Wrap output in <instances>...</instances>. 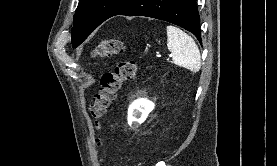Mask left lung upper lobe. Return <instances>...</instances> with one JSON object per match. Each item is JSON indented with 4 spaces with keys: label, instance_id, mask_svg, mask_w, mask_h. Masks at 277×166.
I'll use <instances>...</instances> for the list:
<instances>
[{
    "label": "left lung upper lobe",
    "instance_id": "5c2ea615",
    "mask_svg": "<svg viewBox=\"0 0 277 166\" xmlns=\"http://www.w3.org/2000/svg\"><path fill=\"white\" fill-rule=\"evenodd\" d=\"M133 0H79L71 30L72 47L79 46L102 22Z\"/></svg>",
    "mask_w": 277,
    "mask_h": 166
}]
</instances>
